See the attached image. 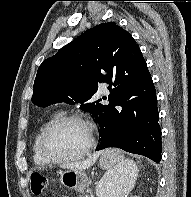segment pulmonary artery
I'll return each mask as SVG.
<instances>
[{
  "label": "pulmonary artery",
  "instance_id": "obj_1",
  "mask_svg": "<svg viewBox=\"0 0 191 197\" xmlns=\"http://www.w3.org/2000/svg\"><path fill=\"white\" fill-rule=\"evenodd\" d=\"M99 89L102 93H107L108 92V88H107V84L105 82H102L99 86Z\"/></svg>",
  "mask_w": 191,
  "mask_h": 197
}]
</instances>
